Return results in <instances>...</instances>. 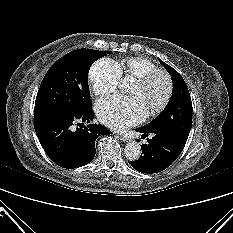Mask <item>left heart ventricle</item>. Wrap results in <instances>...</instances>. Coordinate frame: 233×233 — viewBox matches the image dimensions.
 <instances>
[{
  "label": "left heart ventricle",
  "mask_w": 233,
  "mask_h": 233,
  "mask_svg": "<svg viewBox=\"0 0 233 233\" xmlns=\"http://www.w3.org/2000/svg\"><path fill=\"white\" fill-rule=\"evenodd\" d=\"M167 91V84L162 76L154 77L144 86L134 82L130 89V94L136 96L142 102L146 111L159 105L164 99Z\"/></svg>",
  "instance_id": "b2bd125f"
}]
</instances>
